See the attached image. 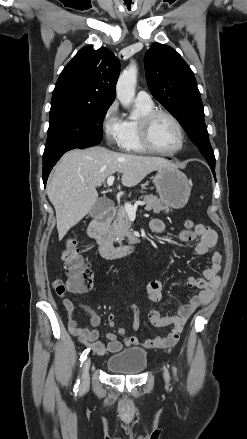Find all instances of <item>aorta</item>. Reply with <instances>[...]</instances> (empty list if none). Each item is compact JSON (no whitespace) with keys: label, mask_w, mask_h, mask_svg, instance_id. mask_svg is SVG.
<instances>
[{"label":"aorta","mask_w":247,"mask_h":439,"mask_svg":"<svg viewBox=\"0 0 247 439\" xmlns=\"http://www.w3.org/2000/svg\"><path fill=\"white\" fill-rule=\"evenodd\" d=\"M137 66L131 63L119 76L116 85V95L122 106L129 107L135 96L137 82Z\"/></svg>","instance_id":"762f6f07"}]
</instances>
